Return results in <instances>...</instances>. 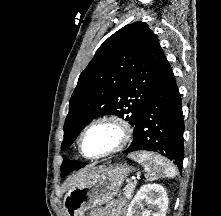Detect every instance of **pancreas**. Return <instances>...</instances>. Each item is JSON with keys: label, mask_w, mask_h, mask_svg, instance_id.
<instances>
[{"label": "pancreas", "mask_w": 221, "mask_h": 216, "mask_svg": "<svg viewBox=\"0 0 221 216\" xmlns=\"http://www.w3.org/2000/svg\"><path fill=\"white\" fill-rule=\"evenodd\" d=\"M135 189V184L129 182L125 187H124V195L125 197L130 200L132 198L133 192Z\"/></svg>", "instance_id": "obj_1"}]
</instances>
